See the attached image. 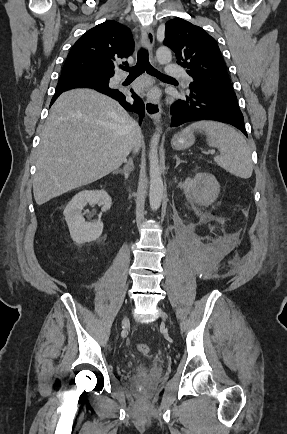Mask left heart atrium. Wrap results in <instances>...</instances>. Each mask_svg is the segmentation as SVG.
Here are the masks:
<instances>
[{
	"label": "left heart atrium",
	"mask_w": 287,
	"mask_h": 434,
	"mask_svg": "<svg viewBox=\"0 0 287 434\" xmlns=\"http://www.w3.org/2000/svg\"><path fill=\"white\" fill-rule=\"evenodd\" d=\"M156 91H153L152 93H151V95L154 97V96H156Z\"/></svg>",
	"instance_id": "39dd6f15"
}]
</instances>
